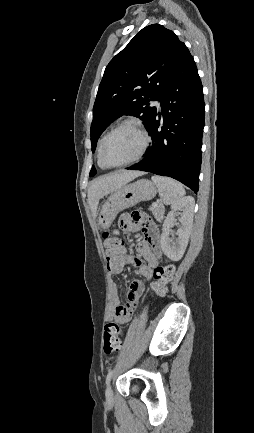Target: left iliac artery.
<instances>
[{"label": "left iliac artery", "instance_id": "44dca946", "mask_svg": "<svg viewBox=\"0 0 254 433\" xmlns=\"http://www.w3.org/2000/svg\"><path fill=\"white\" fill-rule=\"evenodd\" d=\"M113 372H114V370L111 369V370L108 372V374H107V377H106V384H107V385L109 384V382H110V380H111V378H112Z\"/></svg>", "mask_w": 254, "mask_h": 433}]
</instances>
